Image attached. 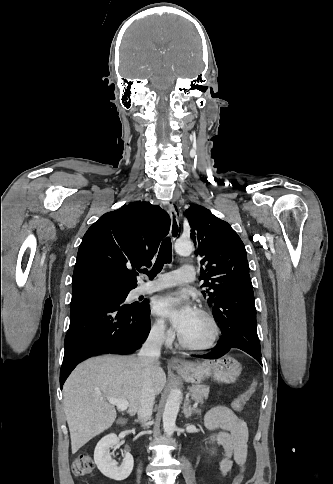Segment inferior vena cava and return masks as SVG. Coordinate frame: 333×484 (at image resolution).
I'll use <instances>...</instances> for the list:
<instances>
[{
  "label": "inferior vena cava",
  "instance_id": "1",
  "mask_svg": "<svg viewBox=\"0 0 333 484\" xmlns=\"http://www.w3.org/2000/svg\"><path fill=\"white\" fill-rule=\"evenodd\" d=\"M163 339V328L153 329L138 353V360L145 368L144 385L138 407V419L142 424H146L152 415L155 392L149 380V370L153 362L160 356Z\"/></svg>",
  "mask_w": 333,
  "mask_h": 484
}]
</instances>
